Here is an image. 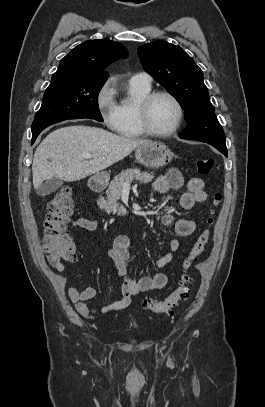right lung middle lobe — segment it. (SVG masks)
Returning <instances> with one entry per match:
<instances>
[{
  "instance_id": "obj_1",
  "label": "right lung middle lobe",
  "mask_w": 265,
  "mask_h": 407,
  "mask_svg": "<svg viewBox=\"0 0 265 407\" xmlns=\"http://www.w3.org/2000/svg\"><path fill=\"white\" fill-rule=\"evenodd\" d=\"M104 83L68 75L53 76L32 123V137L37 138L46 127L67 119L91 118L102 122L98 94Z\"/></svg>"
}]
</instances>
